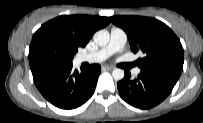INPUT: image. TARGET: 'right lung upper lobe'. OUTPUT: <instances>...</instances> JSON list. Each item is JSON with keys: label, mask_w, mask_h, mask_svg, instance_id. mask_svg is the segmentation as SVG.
<instances>
[{"label": "right lung upper lobe", "mask_w": 203, "mask_h": 123, "mask_svg": "<svg viewBox=\"0 0 203 123\" xmlns=\"http://www.w3.org/2000/svg\"><path fill=\"white\" fill-rule=\"evenodd\" d=\"M110 23V18L90 15H63L50 20L41 28L56 29L77 47H85L95 31Z\"/></svg>", "instance_id": "right-lung-upper-lobe-1"}]
</instances>
